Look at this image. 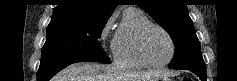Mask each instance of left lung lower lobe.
<instances>
[{
	"instance_id": "left-lung-lower-lobe-1",
	"label": "left lung lower lobe",
	"mask_w": 237,
	"mask_h": 81,
	"mask_svg": "<svg viewBox=\"0 0 237 81\" xmlns=\"http://www.w3.org/2000/svg\"><path fill=\"white\" fill-rule=\"evenodd\" d=\"M189 71L195 73L201 79V81H206V70L189 69Z\"/></svg>"
}]
</instances>
